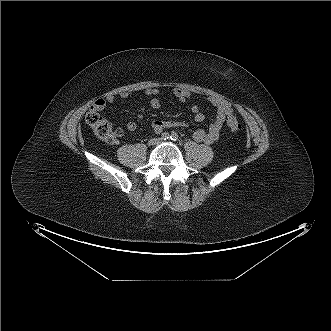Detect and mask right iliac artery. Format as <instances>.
Masks as SVG:
<instances>
[{
	"mask_svg": "<svg viewBox=\"0 0 331 331\" xmlns=\"http://www.w3.org/2000/svg\"><path fill=\"white\" fill-rule=\"evenodd\" d=\"M169 138V134L167 132L162 133L161 139L167 140Z\"/></svg>",
	"mask_w": 331,
	"mask_h": 331,
	"instance_id": "obj_1",
	"label": "right iliac artery"
}]
</instances>
